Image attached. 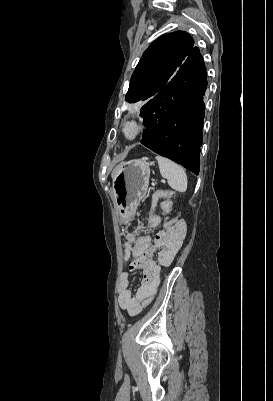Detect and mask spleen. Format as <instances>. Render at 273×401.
<instances>
[{"label": "spleen", "mask_w": 273, "mask_h": 401, "mask_svg": "<svg viewBox=\"0 0 273 401\" xmlns=\"http://www.w3.org/2000/svg\"><path fill=\"white\" fill-rule=\"evenodd\" d=\"M156 158L162 176L168 178V184L175 190H179V192H185L188 180L184 168L176 164V162H172L169 158H164V156H156Z\"/></svg>", "instance_id": "1"}]
</instances>
